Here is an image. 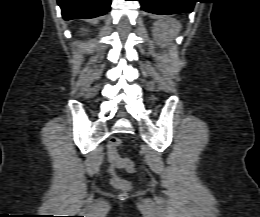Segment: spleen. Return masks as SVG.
Masks as SVG:
<instances>
[{
    "label": "spleen",
    "instance_id": "1",
    "mask_svg": "<svg viewBox=\"0 0 260 217\" xmlns=\"http://www.w3.org/2000/svg\"><path fill=\"white\" fill-rule=\"evenodd\" d=\"M173 29L175 30V32H178V30H179V25L175 23V24L173 25Z\"/></svg>",
    "mask_w": 260,
    "mask_h": 217
}]
</instances>
